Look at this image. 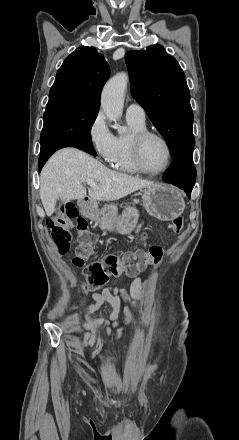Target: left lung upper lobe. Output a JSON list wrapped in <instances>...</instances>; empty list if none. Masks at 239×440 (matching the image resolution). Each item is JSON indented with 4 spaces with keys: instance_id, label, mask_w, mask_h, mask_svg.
Wrapping results in <instances>:
<instances>
[{
    "instance_id": "1",
    "label": "left lung upper lobe",
    "mask_w": 239,
    "mask_h": 440,
    "mask_svg": "<svg viewBox=\"0 0 239 440\" xmlns=\"http://www.w3.org/2000/svg\"><path fill=\"white\" fill-rule=\"evenodd\" d=\"M126 63L133 97L167 141L173 157L195 139L190 93L183 70L160 45L129 51Z\"/></svg>"
}]
</instances>
